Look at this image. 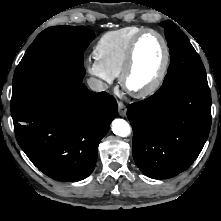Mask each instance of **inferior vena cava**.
<instances>
[{
	"instance_id": "inferior-vena-cava-1",
	"label": "inferior vena cava",
	"mask_w": 221,
	"mask_h": 221,
	"mask_svg": "<svg viewBox=\"0 0 221 221\" xmlns=\"http://www.w3.org/2000/svg\"><path fill=\"white\" fill-rule=\"evenodd\" d=\"M87 83L89 88L95 92H101L108 89V85L106 83L94 77L89 78Z\"/></svg>"
}]
</instances>
